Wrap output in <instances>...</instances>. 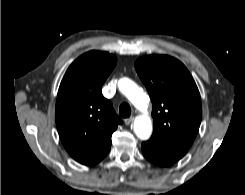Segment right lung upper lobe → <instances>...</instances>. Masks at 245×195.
<instances>
[{
  "label": "right lung upper lobe",
  "instance_id": "cb5924a9",
  "mask_svg": "<svg viewBox=\"0 0 245 195\" xmlns=\"http://www.w3.org/2000/svg\"><path fill=\"white\" fill-rule=\"evenodd\" d=\"M117 63L114 55L89 51L67 69L55 110L60 139L77 162L94 165L109 152L112 133L122 120L101 87Z\"/></svg>",
  "mask_w": 245,
  "mask_h": 195
}]
</instances>
